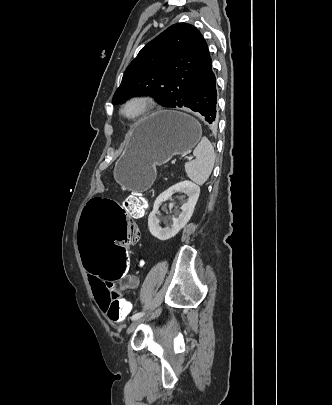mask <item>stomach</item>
Instances as JSON below:
<instances>
[{"label": "stomach", "instance_id": "stomach-1", "mask_svg": "<svg viewBox=\"0 0 332 405\" xmlns=\"http://www.w3.org/2000/svg\"><path fill=\"white\" fill-rule=\"evenodd\" d=\"M202 137L201 125L191 115L164 110L135 123L132 135L114 168L116 182L125 190H147L156 177V166L175 155L189 153Z\"/></svg>", "mask_w": 332, "mask_h": 405}]
</instances>
